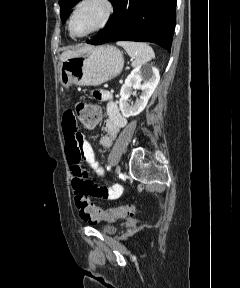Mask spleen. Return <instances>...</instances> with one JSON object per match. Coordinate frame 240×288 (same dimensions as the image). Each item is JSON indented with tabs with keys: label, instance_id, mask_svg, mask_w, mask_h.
Masks as SVG:
<instances>
[{
	"label": "spleen",
	"instance_id": "spleen-1",
	"mask_svg": "<svg viewBox=\"0 0 240 288\" xmlns=\"http://www.w3.org/2000/svg\"><path fill=\"white\" fill-rule=\"evenodd\" d=\"M118 46L125 49L130 57H132V66L137 67L147 63L151 59L155 58L153 49L143 42L134 41H118Z\"/></svg>",
	"mask_w": 240,
	"mask_h": 288
}]
</instances>
